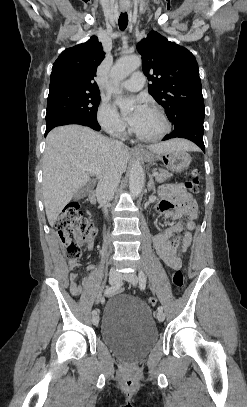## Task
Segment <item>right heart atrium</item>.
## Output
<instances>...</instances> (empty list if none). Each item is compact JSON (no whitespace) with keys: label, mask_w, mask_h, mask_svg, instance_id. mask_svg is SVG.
Returning a JSON list of instances; mask_svg holds the SVG:
<instances>
[{"label":"right heart atrium","mask_w":247,"mask_h":407,"mask_svg":"<svg viewBox=\"0 0 247 407\" xmlns=\"http://www.w3.org/2000/svg\"><path fill=\"white\" fill-rule=\"evenodd\" d=\"M99 125L109 134L122 136L126 125L113 107L105 100L101 101L96 113Z\"/></svg>","instance_id":"right-heart-atrium-1"}]
</instances>
